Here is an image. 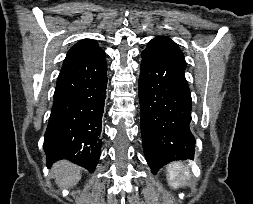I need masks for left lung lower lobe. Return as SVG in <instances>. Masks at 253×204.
<instances>
[{"label":"left lung lower lobe","mask_w":253,"mask_h":204,"mask_svg":"<svg viewBox=\"0 0 253 204\" xmlns=\"http://www.w3.org/2000/svg\"><path fill=\"white\" fill-rule=\"evenodd\" d=\"M141 56V134L145 158L155 173L173 160L193 159L191 94L182 58L159 46H147Z\"/></svg>","instance_id":"1"}]
</instances>
